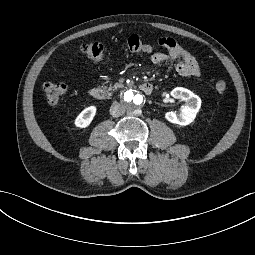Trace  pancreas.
<instances>
[{"label": "pancreas", "mask_w": 255, "mask_h": 255, "mask_svg": "<svg viewBox=\"0 0 255 255\" xmlns=\"http://www.w3.org/2000/svg\"><path fill=\"white\" fill-rule=\"evenodd\" d=\"M102 87H103V90L105 91V93H109L111 90H117V89H119V88H122L123 87V85H121V84H118V83H116V84H114V85H109V87H107L104 83L102 84Z\"/></svg>", "instance_id": "1"}]
</instances>
